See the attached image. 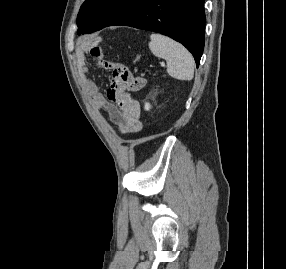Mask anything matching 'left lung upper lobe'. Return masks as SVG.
<instances>
[{
    "mask_svg": "<svg viewBox=\"0 0 286 269\" xmlns=\"http://www.w3.org/2000/svg\"><path fill=\"white\" fill-rule=\"evenodd\" d=\"M143 0H86L78 13V34L107 27L136 8Z\"/></svg>",
    "mask_w": 286,
    "mask_h": 269,
    "instance_id": "1",
    "label": "left lung upper lobe"
}]
</instances>
